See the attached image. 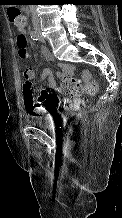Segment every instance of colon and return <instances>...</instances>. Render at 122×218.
Returning <instances> with one entry per match:
<instances>
[{
    "mask_svg": "<svg viewBox=\"0 0 122 218\" xmlns=\"http://www.w3.org/2000/svg\"><path fill=\"white\" fill-rule=\"evenodd\" d=\"M8 17L14 27L19 31H23L27 24V16L23 14L18 8L11 7L8 9ZM16 44L19 48V55L22 59L26 60L29 58V53L26 50V38L19 34L16 38ZM23 93H24V106L27 112L30 114L37 113L34 105V94L31 79L29 77V71L23 72ZM84 78L86 84H83L79 79L66 78L62 80V86L64 91L71 96H80L83 93L93 94L97 91V86L90 80V74L85 71Z\"/></svg>",
    "mask_w": 122,
    "mask_h": 218,
    "instance_id": "1",
    "label": "colon"
}]
</instances>
